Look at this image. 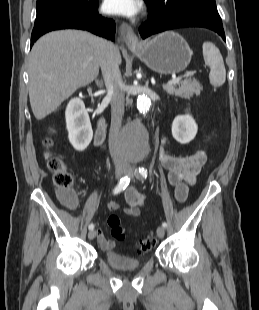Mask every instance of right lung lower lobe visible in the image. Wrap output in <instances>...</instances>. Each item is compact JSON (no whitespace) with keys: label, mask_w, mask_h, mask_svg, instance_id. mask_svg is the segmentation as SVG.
Wrapping results in <instances>:
<instances>
[{"label":"right lung lower lobe","mask_w":259,"mask_h":310,"mask_svg":"<svg viewBox=\"0 0 259 310\" xmlns=\"http://www.w3.org/2000/svg\"><path fill=\"white\" fill-rule=\"evenodd\" d=\"M82 29L114 40L115 22L98 14V1L92 0L75 11L52 12L35 20L31 45L43 34L59 29Z\"/></svg>","instance_id":"right-lung-lower-lobe-1"}]
</instances>
